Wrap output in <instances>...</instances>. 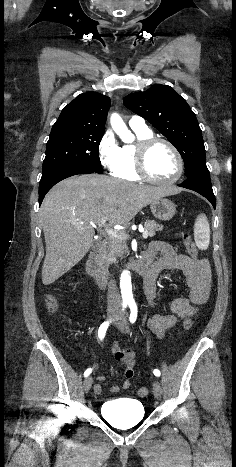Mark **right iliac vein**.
<instances>
[{
	"mask_svg": "<svg viewBox=\"0 0 236 467\" xmlns=\"http://www.w3.org/2000/svg\"><path fill=\"white\" fill-rule=\"evenodd\" d=\"M113 316H114V312H110L109 315H108L109 318H112ZM92 382H93L92 377L89 376V377L85 378V380L83 382V389H84L85 393L89 392V390H90V388L92 386Z\"/></svg>",
	"mask_w": 236,
	"mask_h": 467,
	"instance_id": "right-iliac-vein-1",
	"label": "right iliac vein"
}]
</instances>
